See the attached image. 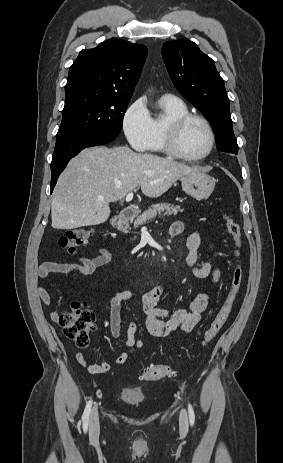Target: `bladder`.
Instances as JSON below:
<instances>
[{"label": "bladder", "instance_id": "bladder-1", "mask_svg": "<svg viewBox=\"0 0 283 463\" xmlns=\"http://www.w3.org/2000/svg\"><path fill=\"white\" fill-rule=\"evenodd\" d=\"M120 399L130 405H137L145 400V393L137 387H123L120 392Z\"/></svg>", "mask_w": 283, "mask_h": 463}]
</instances>
